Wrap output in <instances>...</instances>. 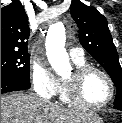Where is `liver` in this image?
Wrapping results in <instances>:
<instances>
[{
    "instance_id": "1",
    "label": "liver",
    "mask_w": 122,
    "mask_h": 123,
    "mask_svg": "<svg viewBox=\"0 0 122 123\" xmlns=\"http://www.w3.org/2000/svg\"><path fill=\"white\" fill-rule=\"evenodd\" d=\"M88 114L53 104L33 92L1 96V123H80Z\"/></svg>"
}]
</instances>
